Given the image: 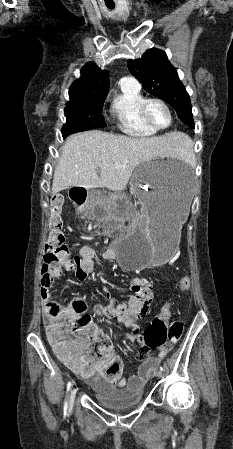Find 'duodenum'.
<instances>
[{
  "label": "duodenum",
  "mask_w": 233,
  "mask_h": 449,
  "mask_svg": "<svg viewBox=\"0 0 233 449\" xmlns=\"http://www.w3.org/2000/svg\"><path fill=\"white\" fill-rule=\"evenodd\" d=\"M89 195V186H72L70 199L72 206H85Z\"/></svg>",
  "instance_id": "410a0bca"
}]
</instances>
